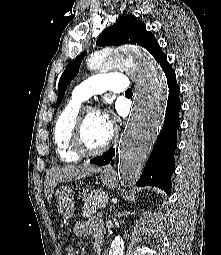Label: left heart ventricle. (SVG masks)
<instances>
[{"label":"left heart ventricle","mask_w":221,"mask_h":255,"mask_svg":"<svg viewBox=\"0 0 221 255\" xmlns=\"http://www.w3.org/2000/svg\"><path fill=\"white\" fill-rule=\"evenodd\" d=\"M110 128H108L99 113L90 112L86 116L84 125V140L90 149L101 147L109 138Z\"/></svg>","instance_id":"obj_1"}]
</instances>
